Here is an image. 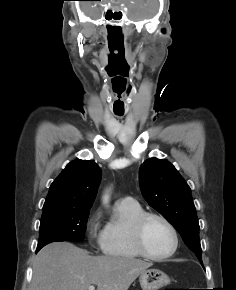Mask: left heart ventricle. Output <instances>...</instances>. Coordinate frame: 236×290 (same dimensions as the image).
<instances>
[{"label": "left heart ventricle", "instance_id": "obj_1", "mask_svg": "<svg viewBox=\"0 0 236 290\" xmlns=\"http://www.w3.org/2000/svg\"><path fill=\"white\" fill-rule=\"evenodd\" d=\"M144 242L154 255H164L173 247V237L167 226L158 219H149L144 228Z\"/></svg>", "mask_w": 236, "mask_h": 290}]
</instances>
